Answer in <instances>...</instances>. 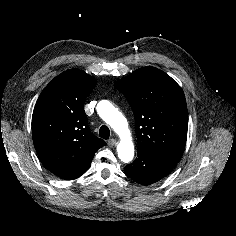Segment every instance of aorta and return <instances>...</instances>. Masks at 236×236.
Here are the masks:
<instances>
[{"instance_id":"obj_1","label":"aorta","mask_w":236,"mask_h":236,"mask_svg":"<svg viewBox=\"0 0 236 236\" xmlns=\"http://www.w3.org/2000/svg\"><path fill=\"white\" fill-rule=\"evenodd\" d=\"M97 112L121 139L117 145L119 159L124 163L130 162L134 157V144L124 116L112 103L106 100L98 103Z\"/></svg>"}]
</instances>
